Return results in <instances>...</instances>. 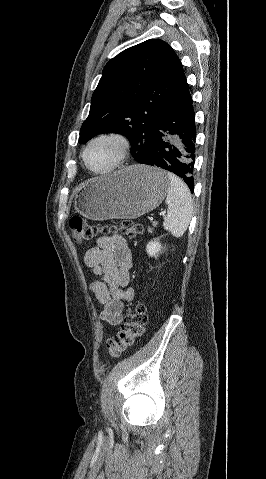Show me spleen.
<instances>
[{
  "label": "spleen",
  "mask_w": 266,
  "mask_h": 479,
  "mask_svg": "<svg viewBox=\"0 0 266 479\" xmlns=\"http://www.w3.org/2000/svg\"><path fill=\"white\" fill-rule=\"evenodd\" d=\"M167 176L170 181L165 200L168 211L163 227L174 237L180 238L193 215L192 197L187 185L179 177L173 173H167Z\"/></svg>",
  "instance_id": "1"
}]
</instances>
